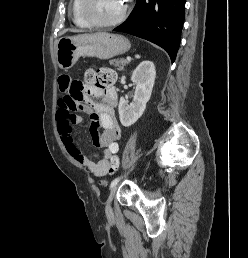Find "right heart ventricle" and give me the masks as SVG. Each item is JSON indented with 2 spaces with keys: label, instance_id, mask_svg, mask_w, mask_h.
I'll use <instances>...</instances> for the list:
<instances>
[{
  "label": "right heart ventricle",
  "instance_id": "right-heart-ventricle-1",
  "mask_svg": "<svg viewBox=\"0 0 248 258\" xmlns=\"http://www.w3.org/2000/svg\"><path fill=\"white\" fill-rule=\"evenodd\" d=\"M81 0H72L71 12L73 22L79 27H89L80 12Z\"/></svg>",
  "mask_w": 248,
  "mask_h": 258
}]
</instances>
